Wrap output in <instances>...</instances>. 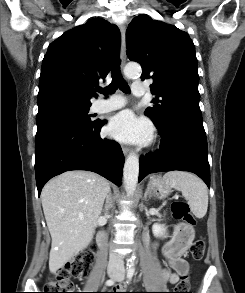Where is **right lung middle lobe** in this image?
Segmentation results:
<instances>
[{
    "instance_id": "right-lung-middle-lobe-1",
    "label": "right lung middle lobe",
    "mask_w": 245,
    "mask_h": 293,
    "mask_svg": "<svg viewBox=\"0 0 245 293\" xmlns=\"http://www.w3.org/2000/svg\"><path fill=\"white\" fill-rule=\"evenodd\" d=\"M90 106V104L58 103L39 108L35 141L60 127L93 123L88 115Z\"/></svg>"
}]
</instances>
